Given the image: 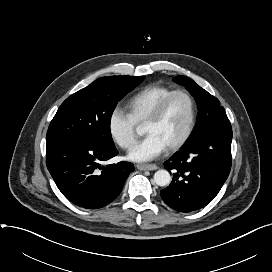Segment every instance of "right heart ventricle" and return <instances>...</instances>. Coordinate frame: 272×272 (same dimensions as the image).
Masks as SVG:
<instances>
[{
    "label": "right heart ventricle",
    "instance_id": "1",
    "mask_svg": "<svg viewBox=\"0 0 272 272\" xmlns=\"http://www.w3.org/2000/svg\"><path fill=\"white\" fill-rule=\"evenodd\" d=\"M172 91L173 88L164 85L145 87L128 101L129 116L137 125L144 124L158 103Z\"/></svg>",
    "mask_w": 272,
    "mask_h": 272
}]
</instances>
